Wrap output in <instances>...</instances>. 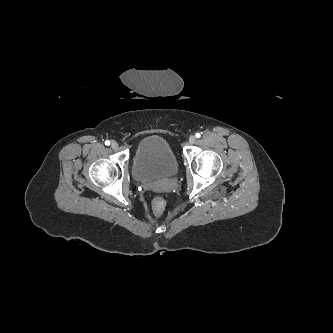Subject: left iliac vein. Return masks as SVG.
Returning <instances> with one entry per match:
<instances>
[{"instance_id": "1", "label": "left iliac vein", "mask_w": 333, "mask_h": 333, "mask_svg": "<svg viewBox=\"0 0 333 333\" xmlns=\"http://www.w3.org/2000/svg\"><path fill=\"white\" fill-rule=\"evenodd\" d=\"M195 141H196V137H195L194 135H191V136L189 137V143H190V144H194Z\"/></svg>"}]
</instances>
